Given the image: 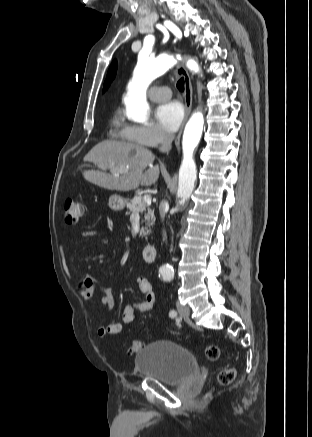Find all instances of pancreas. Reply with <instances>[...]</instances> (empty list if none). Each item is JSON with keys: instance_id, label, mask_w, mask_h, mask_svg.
Instances as JSON below:
<instances>
[{"instance_id": "pancreas-1", "label": "pancreas", "mask_w": 312, "mask_h": 437, "mask_svg": "<svg viewBox=\"0 0 312 437\" xmlns=\"http://www.w3.org/2000/svg\"><path fill=\"white\" fill-rule=\"evenodd\" d=\"M127 208L132 213H143L148 210L147 213L144 215V220L142 222L145 223V226H143L140 230V236H147V234L150 232L148 230V227H151L155 222V216L154 211L149 208V205L144 201L143 197L141 196H135L131 202L127 203Z\"/></svg>"}]
</instances>
